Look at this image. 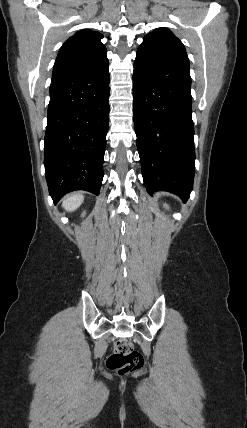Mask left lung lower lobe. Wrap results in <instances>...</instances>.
<instances>
[{
  "mask_svg": "<svg viewBox=\"0 0 247 428\" xmlns=\"http://www.w3.org/2000/svg\"><path fill=\"white\" fill-rule=\"evenodd\" d=\"M133 116L144 184L186 201L195 172L189 68L138 49Z\"/></svg>",
  "mask_w": 247,
  "mask_h": 428,
  "instance_id": "0a47b994",
  "label": "left lung lower lobe"
}]
</instances>
